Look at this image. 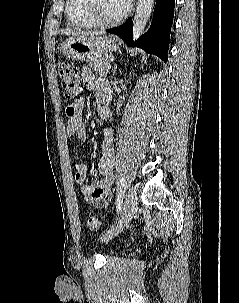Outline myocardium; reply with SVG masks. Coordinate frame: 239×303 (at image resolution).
Wrapping results in <instances>:
<instances>
[{
  "label": "myocardium",
  "instance_id": "obj_1",
  "mask_svg": "<svg viewBox=\"0 0 239 303\" xmlns=\"http://www.w3.org/2000/svg\"><path fill=\"white\" fill-rule=\"evenodd\" d=\"M99 0H86L85 11L88 14L91 21L101 27L114 26L122 21L128 16L130 9H126L121 15L113 19H105L101 16L99 10Z\"/></svg>",
  "mask_w": 239,
  "mask_h": 303
}]
</instances>
